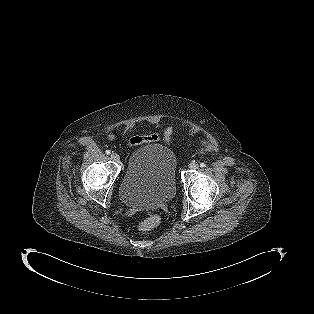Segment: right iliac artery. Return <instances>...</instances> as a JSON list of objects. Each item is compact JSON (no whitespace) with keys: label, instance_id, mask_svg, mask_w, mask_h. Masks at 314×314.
<instances>
[{"label":"right iliac artery","instance_id":"obj_1","mask_svg":"<svg viewBox=\"0 0 314 314\" xmlns=\"http://www.w3.org/2000/svg\"><path fill=\"white\" fill-rule=\"evenodd\" d=\"M105 153H106L107 155H109L111 152H110V150H106Z\"/></svg>","mask_w":314,"mask_h":314}]
</instances>
